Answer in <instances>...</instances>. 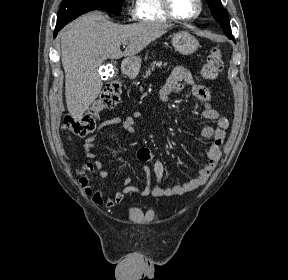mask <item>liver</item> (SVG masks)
<instances>
[{
    "mask_svg": "<svg viewBox=\"0 0 288 280\" xmlns=\"http://www.w3.org/2000/svg\"><path fill=\"white\" fill-rule=\"evenodd\" d=\"M170 25L140 22L119 25L104 13L81 16L61 36V60L65 71V97L69 113L80 120L101 92L98 69L106 59L134 57L167 32ZM128 42L125 51L120 50Z\"/></svg>",
    "mask_w": 288,
    "mask_h": 280,
    "instance_id": "liver-1",
    "label": "liver"
}]
</instances>
